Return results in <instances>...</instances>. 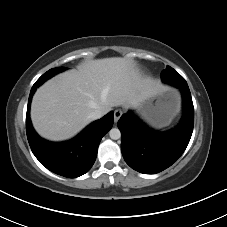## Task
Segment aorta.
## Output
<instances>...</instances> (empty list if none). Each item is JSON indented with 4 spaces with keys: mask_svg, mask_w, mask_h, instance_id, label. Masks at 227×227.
<instances>
[{
    "mask_svg": "<svg viewBox=\"0 0 227 227\" xmlns=\"http://www.w3.org/2000/svg\"><path fill=\"white\" fill-rule=\"evenodd\" d=\"M109 136L113 140H118L121 137V132L118 128H112L109 131Z\"/></svg>",
    "mask_w": 227,
    "mask_h": 227,
    "instance_id": "762f6f07",
    "label": "aorta"
}]
</instances>
